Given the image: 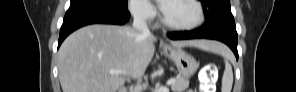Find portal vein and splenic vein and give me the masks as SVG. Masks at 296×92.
Wrapping results in <instances>:
<instances>
[{
    "label": "portal vein and splenic vein",
    "instance_id": "18ae733b",
    "mask_svg": "<svg viewBox=\"0 0 296 92\" xmlns=\"http://www.w3.org/2000/svg\"><path fill=\"white\" fill-rule=\"evenodd\" d=\"M108 73H109V74H124V75H126V72H124V71H122V70H118V69H109V70H108ZM174 83H175V79H174V78L169 79V80L167 81V85H172V84H174Z\"/></svg>",
    "mask_w": 296,
    "mask_h": 92
}]
</instances>
